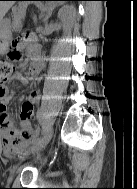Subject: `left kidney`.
Returning a JSON list of instances; mask_svg holds the SVG:
<instances>
[{
	"mask_svg": "<svg viewBox=\"0 0 137 189\" xmlns=\"http://www.w3.org/2000/svg\"><path fill=\"white\" fill-rule=\"evenodd\" d=\"M73 12L70 7H63L58 12V17L63 23V27L68 26L73 18Z\"/></svg>",
	"mask_w": 137,
	"mask_h": 189,
	"instance_id": "1",
	"label": "left kidney"
}]
</instances>
